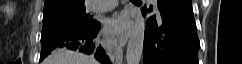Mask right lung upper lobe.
<instances>
[{"label": "right lung upper lobe", "mask_w": 242, "mask_h": 64, "mask_svg": "<svg viewBox=\"0 0 242 64\" xmlns=\"http://www.w3.org/2000/svg\"><path fill=\"white\" fill-rule=\"evenodd\" d=\"M85 0H45L44 13L84 6Z\"/></svg>", "instance_id": "1"}]
</instances>
